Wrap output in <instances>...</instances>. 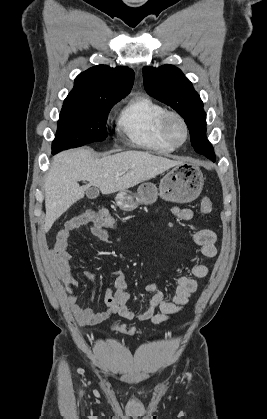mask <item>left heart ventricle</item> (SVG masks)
Returning <instances> with one entry per match:
<instances>
[{
	"instance_id": "b2bd125f",
	"label": "left heart ventricle",
	"mask_w": 267,
	"mask_h": 419,
	"mask_svg": "<svg viewBox=\"0 0 267 419\" xmlns=\"http://www.w3.org/2000/svg\"><path fill=\"white\" fill-rule=\"evenodd\" d=\"M169 131L174 141L181 142L184 139V129L177 120L171 121Z\"/></svg>"
}]
</instances>
